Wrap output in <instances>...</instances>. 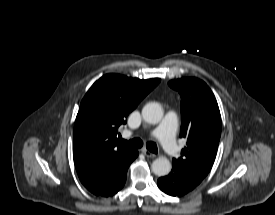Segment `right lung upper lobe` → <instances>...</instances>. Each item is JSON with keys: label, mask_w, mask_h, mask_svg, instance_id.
I'll use <instances>...</instances> for the list:
<instances>
[{"label": "right lung upper lobe", "mask_w": 275, "mask_h": 215, "mask_svg": "<svg viewBox=\"0 0 275 215\" xmlns=\"http://www.w3.org/2000/svg\"><path fill=\"white\" fill-rule=\"evenodd\" d=\"M160 82L106 74L83 98L73 131V158L78 175L99 162L132 152L116 138L119 126Z\"/></svg>", "instance_id": "1"}]
</instances>
